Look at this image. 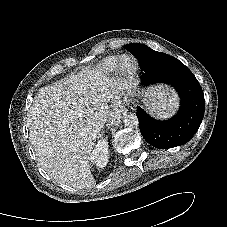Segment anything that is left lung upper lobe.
I'll return each mask as SVG.
<instances>
[{
	"instance_id": "5c2ea615",
	"label": "left lung upper lobe",
	"mask_w": 227,
	"mask_h": 227,
	"mask_svg": "<svg viewBox=\"0 0 227 227\" xmlns=\"http://www.w3.org/2000/svg\"><path fill=\"white\" fill-rule=\"evenodd\" d=\"M138 46H139L138 43H131V44L125 45V48L131 52V50L133 48H137ZM160 54H161V56L159 57L158 60H156V62L154 64V67H156V68H159L161 66L173 65V64L180 62L178 59H176L168 54L161 53V52H160Z\"/></svg>"
}]
</instances>
